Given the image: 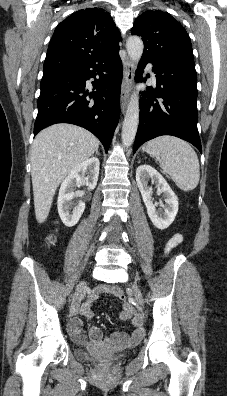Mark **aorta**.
<instances>
[{
	"instance_id": "obj_1",
	"label": "aorta",
	"mask_w": 227,
	"mask_h": 396,
	"mask_svg": "<svg viewBox=\"0 0 227 396\" xmlns=\"http://www.w3.org/2000/svg\"><path fill=\"white\" fill-rule=\"evenodd\" d=\"M126 49L131 61L137 66L143 54V41L138 36H130L126 42ZM139 123V96L134 92L126 110L122 127V143L129 147L133 143Z\"/></svg>"
}]
</instances>
